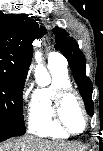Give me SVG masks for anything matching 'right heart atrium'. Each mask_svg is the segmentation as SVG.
<instances>
[{"mask_svg":"<svg viewBox=\"0 0 103 151\" xmlns=\"http://www.w3.org/2000/svg\"><path fill=\"white\" fill-rule=\"evenodd\" d=\"M22 95L25 96V91L22 92Z\"/></svg>","mask_w":103,"mask_h":151,"instance_id":"obj_1","label":"right heart atrium"}]
</instances>
